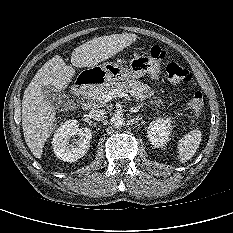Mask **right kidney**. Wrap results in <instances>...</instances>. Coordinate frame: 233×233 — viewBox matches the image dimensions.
I'll list each match as a JSON object with an SVG mask.
<instances>
[{
  "label": "right kidney",
  "mask_w": 233,
  "mask_h": 233,
  "mask_svg": "<svg viewBox=\"0 0 233 233\" xmlns=\"http://www.w3.org/2000/svg\"><path fill=\"white\" fill-rule=\"evenodd\" d=\"M78 135L80 138L74 143H70L72 136ZM92 132L89 128H79L76 119H70L62 123L56 130L53 137L52 146L55 155L67 162H74L83 157L90 147Z\"/></svg>",
  "instance_id": "ca27d5eb"
}]
</instances>
